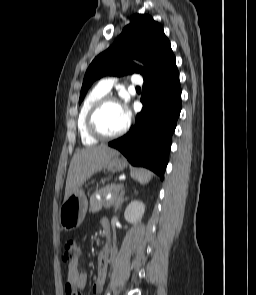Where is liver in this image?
I'll use <instances>...</instances> for the list:
<instances>
[{
  "instance_id": "obj_1",
  "label": "liver",
  "mask_w": 256,
  "mask_h": 295,
  "mask_svg": "<svg viewBox=\"0 0 256 295\" xmlns=\"http://www.w3.org/2000/svg\"><path fill=\"white\" fill-rule=\"evenodd\" d=\"M116 154H119L118 151L106 145L77 151L68 169L64 200L82 186L93 174L105 168L109 160Z\"/></svg>"
}]
</instances>
